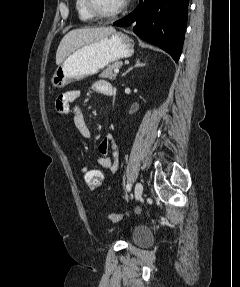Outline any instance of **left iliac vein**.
<instances>
[{"label": "left iliac vein", "mask_w": 240, "mask_h": 287, "mask_svg": "<svg viewBox=\"0 0 240 287\" xmlns=\"http://www.w3.org/2000/svg\"><path fill=\"white\" fill-rule=\"evenodd\" d=\"M142 193H143V186L140 182H137L134 190L135 199L139 200L142 197Z\"/></svg>", "instance_id": "4c4485c4"}]
</instances>
